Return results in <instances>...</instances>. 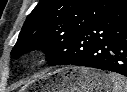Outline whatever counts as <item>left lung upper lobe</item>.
I'll return each instance as SVG.
<instances>
[{
    "label": "left lung upper lobe",
    "mask_w": 127,
    "mask_h": 92,
    "mask_svg": "<svg viewBox=\"0 0 127 92\" xmlns=\"http://www.w3.org/2000/svg\"><path fill=\"white\" fill-rule=\"evenodd\" d=\"M125 0H40L28 15L12 55L31 49L48 52V63L57 59L73 38Z\"/></svg>",
    "instance_id": "5c2ea615"
}]
</instances>
